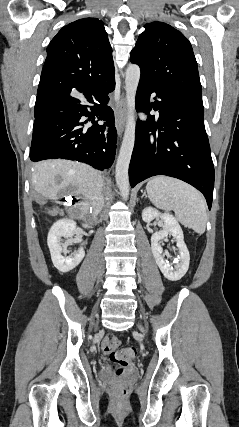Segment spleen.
<instances>
[{
	"instance_id": "obj_1",
	"label": "spleen",
	"mask_w": 239,
	"mask_h": 427,
	"mask_svg": "<svg viewBox=\"0 0 239 427\" xmlns=\"http://www.w3.org/2000/svg\"><path fill=\"white\" fill-rule=\"evenodd\" d=\"M146 190L150 201L163 210H173L185 227L203 234L206 228V202L203 195L189 184L167 176L149 180Z\"/></svg>"
}]
</instances>
